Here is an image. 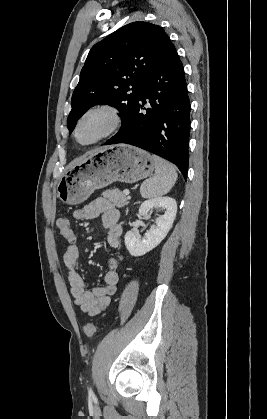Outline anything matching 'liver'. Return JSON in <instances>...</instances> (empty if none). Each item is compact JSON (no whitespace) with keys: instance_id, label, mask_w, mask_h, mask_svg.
Listing matches in <instances>:
<instances>
[{"instance_id":"1","label":"liver","mask_w":267,"mask_h":419,"mask_svg":"<svg viewBox=\"0 0 267 419\" xmlns=\"http://www.w3.org/2000/svg\"><path fill=\"white\" fill-rule=\"evenodd\" d=\"M100 150V149H99ZM99 150H95V151H93V152H91V155L92 154H95L96 152H98Z\"/></svg>"}]
</instances>
